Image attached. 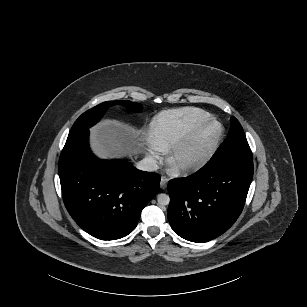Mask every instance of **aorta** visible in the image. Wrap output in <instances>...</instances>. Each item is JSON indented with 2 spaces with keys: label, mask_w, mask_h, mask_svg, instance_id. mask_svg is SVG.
<instances>
[{
  "label": "aorta",
  "mask_w": 307,
  "mask_h": 307,
  "mask_svg": "<svg viewBox=\"0 0 307 307\" xmlns=\"http://www.w3.org/2000/svg\"><path fill=\"white\" fill-rule=\"evenodd\" d=\"M157 202L159 205L166 206L170 202V197L167 194L161 193L157 196Z\"/></svg>",
  "instance_id": "aorta-1"
}]
</instances>
